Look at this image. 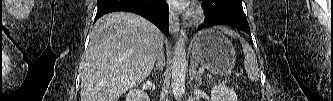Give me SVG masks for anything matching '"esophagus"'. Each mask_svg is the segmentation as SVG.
Segmentation results:
<instances>
[{
    "label": "esophagus",
    "instance_id": "34e87169",
    "mask_svg": "<svg viewBox=\"0 0 333 101\" xmlns=\"http://www.w3.org/2000/svg\"><path fill=\"white\" fill-rule=\"evenodd\" d=\"M169 29L170 32L175 36L179 34V18L173 10L170 11ZM181 34L184 38H186L184 32H181Z\"/></svg>",
    "mask_w": 333,
    "mask_h": 101
}]
</instances>
